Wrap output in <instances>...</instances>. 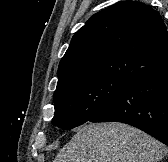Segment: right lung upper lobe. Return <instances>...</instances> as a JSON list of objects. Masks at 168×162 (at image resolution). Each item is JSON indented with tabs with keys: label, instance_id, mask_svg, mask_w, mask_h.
Listing matches in <instances>:
<instances>
[{
	"label": "right lung upper lobe",
	"instance_id": "right-lung-upper-lobe-1",
	"mask_svg": "<svg viewBox=\"0 0 168 162\" xmlns=\"http://www.w3.org/2000/svg\"><path fill=\"white\" fill-rule=\"evenodd\" d=\"M166 65L168 29L160 14L139 0H123L74 34L58 67L56 91L105 75L135 79Z\"/></svg>",
	"mask_w": 168,
	"mask_h": 162
}]
</instances>
